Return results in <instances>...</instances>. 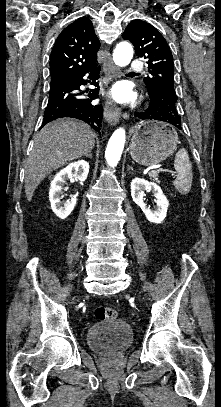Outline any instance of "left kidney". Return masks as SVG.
I'll return each mask as SVG.
<instances>
[{
	"label": "left kidney",
	"mask_w": 221,
	"mask_h": 407,
	"mask_svg": "<svg viewBox=\"0 0 221 407\" xmlns=\"http://www.w3.org/2000/svg\"><path fill=\"white\" fill-rule=\"evenodd\" d=\"M144 191H152L154 193L157 199L154 210L148 208L144 203ZM131 195L133 201L141 208L147 220L159 224L165 219L169 202L157 184L141 178H135L131 182Z\"/></svg>",
	"instance_id": "1"
}]
</instances>
